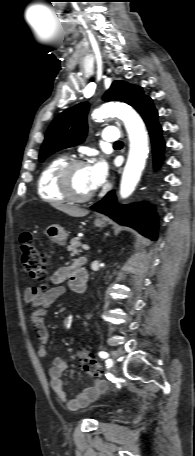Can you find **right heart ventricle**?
<instances>
[{
  "instance_id": "1",
  "label": "right heart ventricle",
  "mask_w": 195,
  "mask_h": 456,
  "mask_svg": "<svg viewBox=\"0 0 195 456\" xmlns=\"http://www.w3.org/2000/svg\"><path fill=\"white\" fill-rule=\"evenodd\" d=\"M67 161V158L64 156L54 158L40 172L37 181V190L42 199L52 202H62L65 200L57 185V173Z\"/></svg>"
}]
</instances>
